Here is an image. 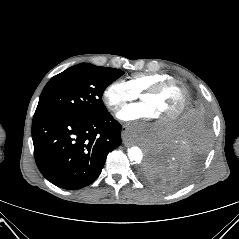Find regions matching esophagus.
I'll return each mask as SVG.
<instances>
[{"mask_svg":"<svg viewBox=\"0 0 239 239\" xmlns=\"http://www.w3.org/2000/svg\"><path fill=\"white\" fill-rule=\"evenodd\" d=\"M127 131H128L127 126H123L122 139H123V142H124L125 145L129 144L128 139H127Z\"/></svg>","mask_w":239,"mask_h":239,"instance_id":"obj_1","label":"esophagus"}]
</instances>
